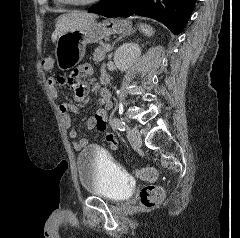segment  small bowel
<instances>
[{
	"label": "small bowel",
	"instance_id": "1",
	"mask_svg": "<svg viewBox=\"0 0 240 238\" xmlns=\"http://www.w3.org/2000/svg\"><path fill=\"white\" fill-rule=\"evenodd\" d=\"M93 73L90 65H83L72 76L66 77H49L47 79V88L50 95L56 99L58 97V85H68L73 93L76 101L84 99L87 93V85L82 81L83 76ZM111 108L110 92L106 88H101L100 97L95 101L93 114L87 120V128L89 130L98 129L101 132H106L108 122V111ZM59 111L62 114L63 124L68 131L71 139H76L78 132L74 127V122L69 113H79L78 107L75 105L62 102L59 104ZM105 141L111 148H124V143H118L111 133L106 132ZM88 144L84 138L75 140L73 147L76 150H81ZM118 152V151H117Z\"/></svg>",
	"mask_w": 240,
	"mask_h": 238
}]
</instances>
